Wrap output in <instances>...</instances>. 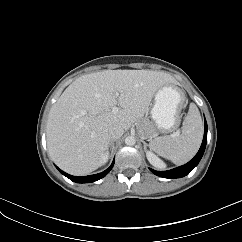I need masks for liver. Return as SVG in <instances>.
Returning <instances> with one entry per match:
<instances>
[{"label":"liver","mask_w":242,"mask_h":242,"mask_svg":"<svg viewBox=\"0 0 242 242\" xmlns=\"http://www.w3.org/2000/svg\"><path fill=\"white\" fill-rule=\"evenodd\" d=\"M166 84L177 81L150 70H104L77 78L49 112L46 136L51 158L72 175L94 171L109 147V129L128 130L139 123ZM116 105L120 110L114 114Z\"/></svg>","instance_id":"obj_1"}]
</instances>
